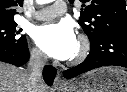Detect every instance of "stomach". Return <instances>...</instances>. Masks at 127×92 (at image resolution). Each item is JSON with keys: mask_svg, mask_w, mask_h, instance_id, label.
<instances>
[{"mask_svg": "<svg viewBox=\"0 0 127 92\" xmlns=\"http://www.w3.org/2000/svg\"><path fill=\"white\" fill-rule=\"evenodd\" d=\"M58 92H127V71L119 67H101L88 72Z\"/></svg>", "mask_w": 127, "mask_h": 92, "instance_id": "0dacf381", "label": "stomach"}]
</instances>
